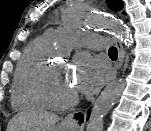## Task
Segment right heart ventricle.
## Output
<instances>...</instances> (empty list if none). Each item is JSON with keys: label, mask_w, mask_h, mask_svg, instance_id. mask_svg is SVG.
I'll list each match as a JSON object with an SVG mask.
<instances>
[{"label": "right heart ventricle", "mask_w": 151, "mask_h": 131, "mask_svg": "<svg viewBox=\"0 0 151 131\" xmlns=\"http://www.w3.org/2000/svg\"><path fill=\"white\" fill-rule=\"evenodd\" d=\"M49 45L50 42L45 38H37L25 47L12 84L11 104L15 109L24 110L41 105L35 85L46 66L45 53Z\"/></svg>", "instance_id": "obj_1"}]
</instances>
